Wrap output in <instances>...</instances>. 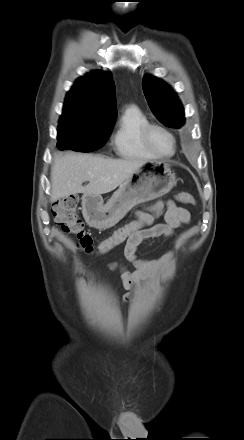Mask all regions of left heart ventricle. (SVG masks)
Segmentation results:
<instances>
[{
    "label": "left heart ventricle",
    "instance_id": "1",
    "mask_svg": "<svg viewBox=\"0 0 244 440\" xmlns=\"http://www.w3.org/2000/svg\"><path fill=\"white\" fill-rule=\"evenodd\" d=\"M150 144L155 151L163 155L170 154L173 151L171 138L160 130H153L151 132Z\"/></svg>",
    "mask_w": 244,
    "mask_h": 440
}]
</instances>
